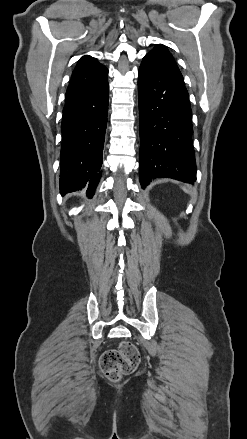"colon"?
I'll list each match as a JSON object with an SVG mask.
<instances>
[{
	"instance_id": "1",
	"label": "colon",
	"mask_w": 247,
	"mask_h": 439,
	"mask_svg": "<svg viewBox=\"0 0 247 439\" xmlns=\"http://www.w3.org/2000/svg\"><path fill=\"white\" fill-rule=\"evenodd\" d=\"M140 361L139 351L134 344L123 341L117 349H109L100 358L102 372L111 381L132 373Z\"/></svg>"
}]
</instances>
